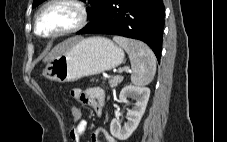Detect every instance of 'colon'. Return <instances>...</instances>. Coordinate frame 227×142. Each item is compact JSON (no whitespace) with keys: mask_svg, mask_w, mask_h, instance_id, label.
Wrapping results in <instances>:
<instances>
[{"mask_svg":"<svg viewBox=\"0 0 227 142\" xmlns=\"http://www.w3.org/2000/svg\"><path fill=\"white\" fill-rule=\"evenodd\" d=\"M70 113L74 126L80 125L85 120L81 110L75 106L70 107Z\"/></svg>","mask_w":227,"mask_h":142,"instance_id":"obj_1","label":"colon"}]
</instances>
